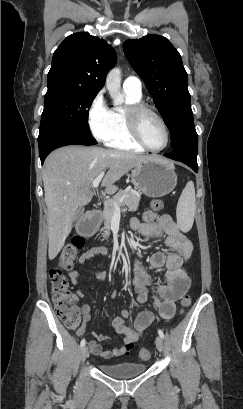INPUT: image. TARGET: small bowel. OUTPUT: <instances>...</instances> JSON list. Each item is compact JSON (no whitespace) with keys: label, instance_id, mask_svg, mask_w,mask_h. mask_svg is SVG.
<instances>
[{"label":"small bowel","instance_id":"small-bowel-1","mask_svg":"<svg viewBox=\"0 0 243 409\" xmlns=\"http://www.w3.org/2000/svg\"><path fill=\"white\" fill-rule=\"evenodd\" d=\"M131 227L145 239L165 235L164 243L169 249V253L165 254L161 251L153 253L149 259V264L154 270H158L164 266L166 267L165 282H158L156 285L160 299L153 297V302L157 314L162 319L169 320L175 313V302L186 293L191 284V280L183 269V266L191 257L193 250L192 243L181 232L177 223L168 213L160 215L152 211H145L140 221L135 218L131 220ZM106 253L107 249L103 246L91 247L81 254L78 262L85 264L87 261ZM133 269L135 274L133 286L138 294L137 301L144 303L149 296L150 277L138 259L134 260ZM69 277L74 286L80 284L79 270L70 271ZM96 279L98 281H104L106 279V273H97ZM74 297L76 299L83 298L84 290L81 288L77 289L74 293ZM82 313L81 326L78 329L79 335L84 333L86 326L90 323V315L85 306L82 308ZM130 317V309L124 308L112 321L115 331L124 335L123 343L120 347L104 350L99 344V341L107 340L108 337L101 333H96L94 335L96 341L89 342L90 351L94 355L104 359L129 354L134 348V343L141 338L142 333L155 320L156 314L150 310L139 312L134 320V328L126 324Z\"/></svg>","mask_w":243,"mask_h":409}]
</instances>
